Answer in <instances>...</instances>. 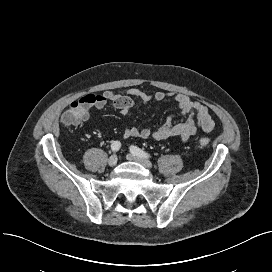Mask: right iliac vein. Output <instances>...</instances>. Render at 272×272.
Listing matches in <instances>:
<instances>
[{
	"label": "right iliac vein",
	"mask_w": 272,
	"mask_h": 272,
	"mask_svg": "<svg viewBox=\"0 0 272 272\" xmlns=\"http://www.w3.org/2000/svg\"><path fill=\"white\" fill-rule=\"evenodd\" d=\"M117 161H118L117 155L114 154V155L110 156V158L108 160V164H109V166L114 167L117 164Z\"/></svg>",
	"instance_id": "obj_1"
}]
</instances>
